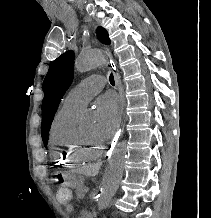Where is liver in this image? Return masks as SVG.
Here are the masks:
<instances>
[{
	"instance_id": "1",
	"label": "liver",
	"mask_w": 211,
	"mask_h": 218,
	"mask_svg": "<svg viewBox=\"0 0 211 218\" xmlns=\"http://www.w3.org/2000/svg\"><path fill=\"white\" fill-rule=\"evenodd\" d=\"M100 166L101 164H94V166H88V168L82 170V174H85V176H97Z\"/></svg>"
}]
</instances>
